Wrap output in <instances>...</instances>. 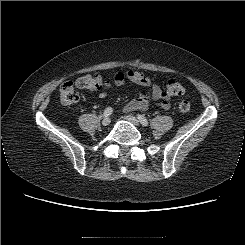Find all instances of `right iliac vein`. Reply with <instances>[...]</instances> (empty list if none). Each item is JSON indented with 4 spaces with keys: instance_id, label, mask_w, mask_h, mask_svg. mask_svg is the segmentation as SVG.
I'll list each match as a JSON object with an SVG mask.
<instances>
[{
    "instance_id": "1",
    "label": "right iliac vein",
    "mask_w": 245,
    "mask_h": 245,
    "mask_svg": "<svg viewBox=\"0 0 245 245\" xmlns=\"http://www.w3.org/2000/svg\"><path fill=\"white\" fill-rule=\"evenodd\" d=\"M110 118L109 117H105L103 120H102V124L104 125V126H107V125H109V123H110Z\"/></svg>"
}]
</instances>
